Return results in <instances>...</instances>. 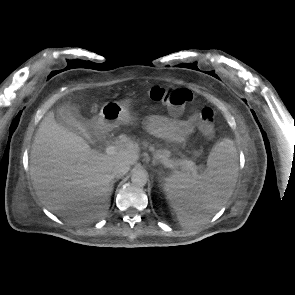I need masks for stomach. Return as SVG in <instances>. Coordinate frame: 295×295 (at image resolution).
I'll use <instances>...</instances> for the list:
<instances>
[{"label": "stomach", "mask_w": 295, "mask_h": 295, "mask_svg": "<svg viewBox=\"0 0 295 295\" xmlns=\"http://www.w3.org/2000/svg\"><path fill=\"white\" fill-rule=\"evenodd\" d=\"M133 117L127 105L119 102L105 103L94 122V126L100 130L110 131L120 124H132Z\"/></svg>", "instance_id": "obj_1"}]
</instances>
